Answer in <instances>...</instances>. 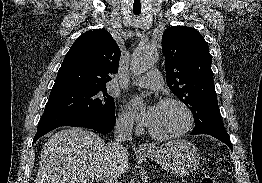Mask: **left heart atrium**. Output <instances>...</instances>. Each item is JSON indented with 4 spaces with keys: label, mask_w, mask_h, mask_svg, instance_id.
I'll return each mask as SVG.
<instances>
[{
    "label": "left heart atrium",
    "mask_w": 262,
    "mask_h": 183,
    "mask_svg": "<svg viewBox=\"0 0 262 183\" xmlns=\"http://www.w3.org/2000/svg\"><path fill=\"white\" fill-rule=\"evenodd\" d=\"M143 100L141 98H133L129 101L128 107L138 119L146 126L150 127L152 124L158 105L149 106L147 109L143 108Z\"/></svg>",
    "instance_id": "obj_1"
}]
</instances>
